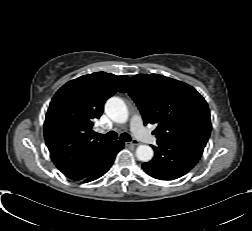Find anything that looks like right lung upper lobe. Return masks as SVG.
Returning a JSON list of instances; mask_svg holds the SVG:
<instances>
[{
  "label": "right lung upper lobe",
  "mask_w": 252,
  "mask_h": 231,
  "mask_svg": "<svg viewBox=\"0 0 252 231\" xmlns=\"http://www.w3.org/2000/svg\"><path fill=\"white\" fill-rule=\"evenodd\" d=\"M127 79L106 72L83 75L67 82L53 97L44 123L45 142L52 161L68 178L87 177L114 144L94 135L92 121Z\"/></svg>",
  "instance_id": "1"
}]
</instances>
